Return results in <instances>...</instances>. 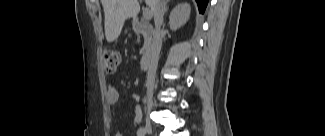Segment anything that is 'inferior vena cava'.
Returning <instances> with one entry per match:
<instances>
[{"label": "inferior vena cava", "mask_w": 325, "mask_h": 136, "mask_svg": "<svg viewBox=\"0 0 325 136\" xmlns=\"http://www.w3.org/2000/svg\"><path fill=\"white\" fill-rule=\"evenodd\" d=\"M151 9L154 13V22H155V39L153 44V53L151 63L147 73L146 87H147V96L152 97L154 83H155V75L158 64V56L161 48L160 41V27L163 22L162 10L163 4L162 0H152Z\"/></svg>", "instance_id": "inferior-vena-cava-1"}]
</instances>
